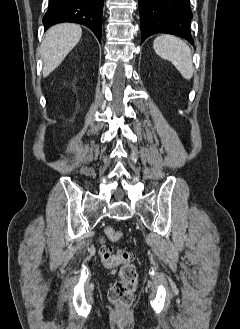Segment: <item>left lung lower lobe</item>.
<instances>
[{
	"label": "left lung lower lobe",
	"instance_id": "1",
	"mask_svg": "<svg viewBox=\"0 0 240 329\" xmlns=\"http://www.w3.org/2000/svg\"><path fill=\"white\" fill-rule=\"evenodd\" d=\"M141 42L156 33H168L193 43L189 0H139Z\"/></svg>",
	"mask_w": 240,
	"mask_h": 329
}]
</instances>
